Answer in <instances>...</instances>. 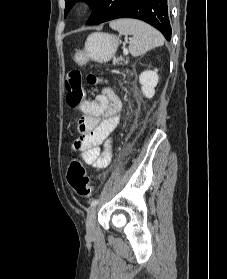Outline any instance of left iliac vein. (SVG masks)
<instances>
[{
    "label": "left iliac vein",
    "instance_id": "1",
    "mask_svg": "<svg viewBox=\"0 0 227 279\" xmlns=\"http://www.w3.org/2000/svg\"><path fill=\"white\" fill-rule=\"evenodd\" d=\"M96 215H97V205L92 206L87 216L86 229H87V235L89 237H93L96 233Z\"/></svg>",
    "mask_w": 227,
    "mask_h": 279
}]
</instances>
